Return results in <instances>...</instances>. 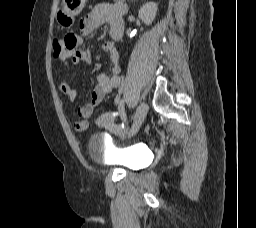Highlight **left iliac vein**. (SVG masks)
<instances>
[{"mask_svg":"<svg viewBox=\"0 0 256 228\" xmlns=\"http://www.w3.org/2000/svg\"><path fill=\"white\" fill-rule=\"evenodd\" d=\"M147 112L148 105L145 102L141 103L135 112L133 125L129 132V137H132L138 132L139 128L141 127L142 123L146 118Z\"/></svg>","mask_w":256,"mask_h":228,"instance_id":"4c4485c4","label":"left iliac vein"}]
</instances>
